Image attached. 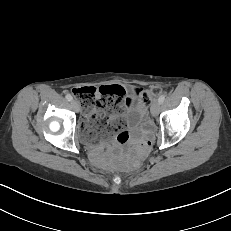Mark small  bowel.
Returning a JSON list of instances; mask_svg holds the SVG:
<instances>
[{
  "label": "small bowel",
  "instance_id": "obj_1",
  "mask_svg": "<svg viewBox=\"0 0 231 231\" xmlns=\"http://www.w3.org/2000/svg\"><path fill=\"white\" fill-rule=\"evenodd\" d=\"M92 115L101 117V116H105L106 112L103 110L97 109L92 113ZM130 122H131V130L133 131V133L136 136V142L141 146V150L145 151L148 148L149 143L147 140H144V135H143L141 129L136 124L135 115L132 114V116L130 117ZM123 142H125V141H118V142L113 141V135L108 133L105 136V142L98 145L97 147H95V149L93 151L94 155L96 157H100L102 155V152H103V149L105 146L112 149V148L116 147L118 145V143H123Z\"/></svg>",
  "mask_w": 231,
  "mask_h": 231
}]
</instances>
